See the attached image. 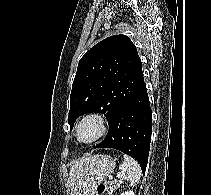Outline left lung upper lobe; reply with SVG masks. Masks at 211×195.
Returning a JSON list of instances; mask_svg holds the SVG:
<instances>
[{"mask_svg":"<svg viewBox=\"0 0 211 195\" xmlns=\"http://www.w3.org/2000/svg\"><path fill=\"white\" fill-rule=\"evenodd\" d=\"M142 63L123 34L110 36L80 59L70 95L68 123L86 113H102L108 123L140 86Z\"/></svg>","mask_w":211,"mask_h":195,"instance_id":"1","label":"left lung upper lobe"}]
</instances>
